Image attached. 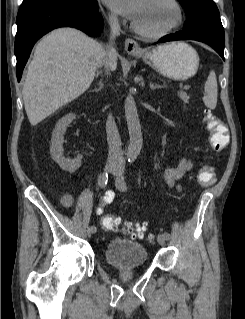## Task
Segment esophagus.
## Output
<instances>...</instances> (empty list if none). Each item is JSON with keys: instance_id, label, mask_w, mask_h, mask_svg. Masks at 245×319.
I'll return each mask as SVG.
<instances>
[{"instance_id": "esophagus-1", "label": "esophagus", "mask_w": 245, "mask_h": 319, "mask_svg": "<svg viewBox=\"0 0 245 319\" xmlns=\"http://www.w3.org/2000/svg\"><path fill=\"white\" fill-rule=\"evenodd\" d=\"M125 50L129 54H140V53H142V49L140 48L138 43L135 40L131 39V38H127L125 40Z\"/></svg>"}]
</instances>
